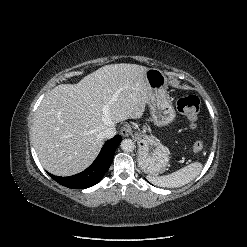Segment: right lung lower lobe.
Segmentation results:
<instances>
[{
    "mask_svg": "<svg viewBox=\"0 0 247 247\" xmlns=\"http://www.w3.org/2000/svg\"><path fill=\"white\" fill-rule=\"evenodd\" d=\"M121 140L120 135L108 140L95 161L83 172L69 177L53 176L51 174L50 176L59 184L72 189H85L97 184L109 169Z\"/></svg>",
    "mask_w": 247,
    "mask_h": 247,
    "instance_id": "right-lung-lower-lobe-1",
    "label": "right lung lower lobe"
}]
</instances>
